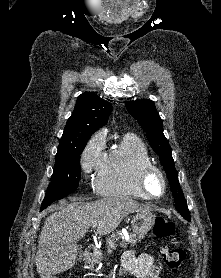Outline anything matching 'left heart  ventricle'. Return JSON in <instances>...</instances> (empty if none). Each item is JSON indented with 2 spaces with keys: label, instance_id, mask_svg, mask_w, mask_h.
Returning a JSON list of instances; mask_svg holds the SVG:
<instances>
[{
  "label": "left heart ventricle",
  "instance_id": "left-heart-ventricle-1",
  "mask_svg": "<svg viewBox=\"0 0 221 278\" xmlns=\"http://www.w3.org/2000/svg\"><path fill=\"white\" fill-rule=\"evenodd\" d=\"M160 183L158 182L157 179H153L151 182V190L153 193H159L160 192Z\"/></svg>",
  "mask_w": 221,
  "mask_h": 278
}]
</instances>
